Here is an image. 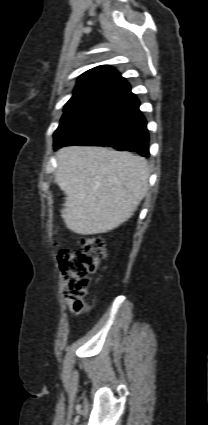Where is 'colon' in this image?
<instances>
[{
  "label": "colon",
  "instance_id": "colon-1",
  "mask_svg": "<svg viewBox=\"0 0 208 425\" xmlns=\"http://www.w3.org/2000/svg\"><path fill=\"white\" fill-rule=\"evenodd\" d=\"M106 257L104 241L96 235L80 237L74 251L62 250L58 259L63 275V292L78 305H85L89 276Z\"/></svg>",
  "mask_w": 208,
  "mask_h": 425
}]
</instances>
